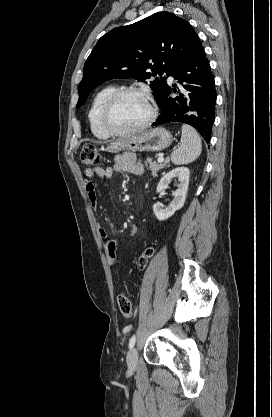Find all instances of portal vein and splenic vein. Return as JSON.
Masks as SVG:
<instances>
[{
  "label": "portal vein and splenic vein",
  "instance_id": "18ae733b",
  "mask_svg": "<svg viewBox=\"0 0 272 417\" xmlns=\"http://www.w3.org/2000/svg\"><path fill=\"white\" fill-rule=\"evenodd\" d=\"M163 161H164V157H159V158H158V162H159V163H162Z\"/></svg>",
  "mask_w": 272,
  "mask_h": 417
}]
</instances>
